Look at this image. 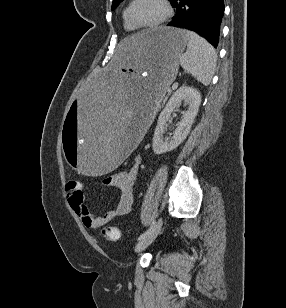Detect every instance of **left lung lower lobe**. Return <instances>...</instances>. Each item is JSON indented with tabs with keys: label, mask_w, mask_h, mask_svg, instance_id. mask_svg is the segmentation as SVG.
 Instances as JSON below:
<instances>
[{
	"label": "left lung lower lobe",
	"mask_w": 286,
	"mask_h": 308,
	"mask_svg": "<svg viewBox=\"0 0 286 308\" xmlns=\"http://www.w3.org/2000/svg\"><path fill=\"white\" fill-rule=\"evenodd\" d=\"M171 5L176 9V16L168 26L195 31L217 47L223 0H172Z\"/></svg>",
	"instance_id": "0a47b994"
}]
</instances>
